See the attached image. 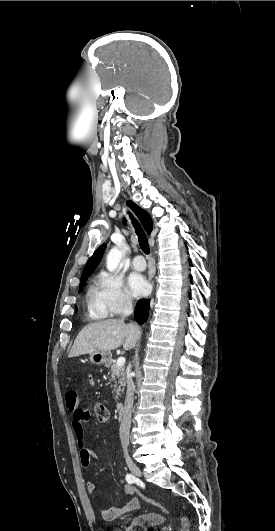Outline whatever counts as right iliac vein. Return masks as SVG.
Listing matches in <instances>:
<instances>
[{"label": "right iliac vein", "instance_id": "63e3f726", "mask_svg": "<svg viewBox=\"0 0 275 531\" xmlns=\"http://www.w3.org/2000/svg\"><path fill=\"white\" fill-rule=\"evenodd\" d=\"M126 463H127V466L129 468V470L131 471V473L136 476V477H140L142 472L140 470V468L137 466L136 463H134V461L129 457V456H126Z\"/></svg>", "mask_w": 275, "mask_h": 531}]
</instances>
